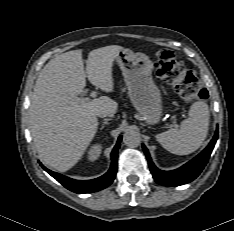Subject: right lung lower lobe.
<instances>
[{
    "instance_id": "98d812e1",
    "label": "right lung lower lobe",
    "mask_w": 234,
    "mask_h": 231,
    "mask_svg": "<svg viewBox=\"0 0 234 231\" xmlns=\"http://www.w3.org/2000/svg\"><path fill=\"white\" fill-rule=\"evenodd\" d=\"M122 137L120 136L118 138L117 144L114 147L112 153H111V157H112V164H111V168L109 169V171L104 174L103 176L96 178V179H92V180H74L71 179L69 177L63 176L61 174L55 173L50 171L49 169H47L46 167H44L42 164H40L42 166V168L48 172L52 177H54L58 182H60L64 187H66L67 189L75 192V193H92V192H96L99 190H102L104 188H106L107 186H109L115 176H116V172H117V151L120 147V142H121Z\"/></svg>"
}]
</instances>
